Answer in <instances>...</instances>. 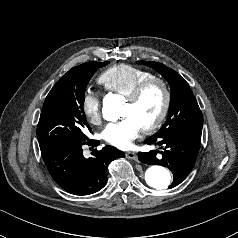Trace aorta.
Returning <instances> with one entry per match:
<instances>
[{
	"mask_svg": "<svg viewBox=\"0 0 238 238\" xmlns=\"http://www.w3.org/2000/svg\"><path fill=\"white\" fill-rule=\"evenodd\" d=\"M120 102L114 96L104 99L102 114L103 118L108 121H115L119 117ZM146 183L159 191L166 190L171 184V173L163 166H150L145 172Z\"/></svg>",
	"mask_w": 238,
	"mask_h": 238,
	"instance_id": "aorta-1",
	"label": "aorta"
}]
</instances>
